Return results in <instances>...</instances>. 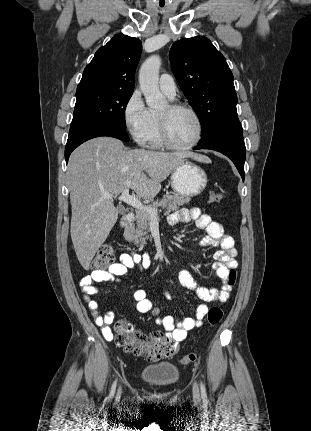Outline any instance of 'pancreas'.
I'll return each mask as SVG.
<instances>
[{
    "mask_svg": "<svg viewBox=\"0 0 311 431\" xmlns=\"http://www.w3.org/2000/svg\"><path fill=\"white\" fill-rule=\"evenodd\" d=\"M191 198H184V196H163L162 200H156L149 204L148 208H162L165 212H177L180 206H185L190 202ZM136 225L129 223L124 229V237L127 241H133L138 247H144L146 243V235L150 231V214L143 212V210H136ZM151 239V237H150Z\"/></svg>",
    "mask_w": 311,
    "mask_h": 431,
    "instance_id": "1",
    "label": "pancreas"
}]
</instances>
